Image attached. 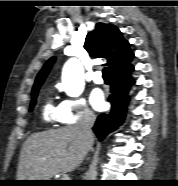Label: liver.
Returning <instances> with one entry per match:
<instances>
[{"label": "liver", "instance_id": "6515ba94", "mask_svg": "<svg viewBox=\"0 0 178 186\" xmlns=\"http://www.w3.org/2000/svg\"><path fill=\"white\" fill-rule=\"evenodd\" d=\"M92 144L93 139L84 137L77 126L34 133L21 149L17 180H50L57 173L73 171Z\"/></svg>", "mask_w": 178, "mask_h": 186}]
</instances>
